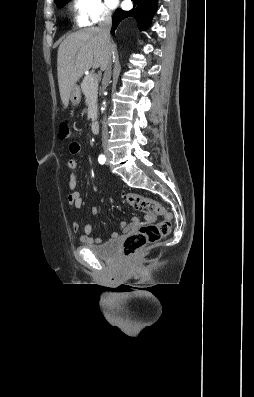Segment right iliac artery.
Returning <instances> with one entry per match:
<instances>
[{
	"instance_id": "obj_1",
	"label": "right iliac artery",
	"mask_w": 254,
	"mask_h": 397,
	"mask_svg": "<svg viewBox=\"0 0 254 397\" xmlns=\"http://www.w3.org/2000/svg\"><path fill=\"white\" fill-rule=\"evenodd\" d=\"M98 161L100 164H104L106 162V157L105 155L101 154L98 158Z\"/></svg>"
}]
</instances>
